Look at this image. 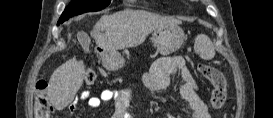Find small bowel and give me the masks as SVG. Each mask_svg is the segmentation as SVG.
<instances>
[{
	"instance_id": "obj_1",
	"label": "small bowel",
	"mask_w": 273,
	"mask_h": 118,
	"mask_svg": "<svg viewBox=\"0 0 273 118\" xmlns=\"http://www.w3.org/2000/svg\"><path fill=\"white\" fill-rule=\"evenodd\" d=\"M179 75L181 81L178 84V91L181 96L188 102V110L191 118H210L208 106L201 98L198 85L187 67L186 61L180 56L161 57L151 66L148 73L142 79L141 87L152 92H160L166 89ZM81 99L87 101L90 108H99L103 103L113 101L114 118H130L128 110L131 99V89L125 88L120 91L105 89L98 95H92L84 91L80 95ZM69 110H75V104L69 105ZM168 118L173 116L168 113Z\"/></svg>"
}]
</instances>
